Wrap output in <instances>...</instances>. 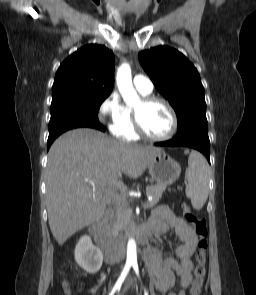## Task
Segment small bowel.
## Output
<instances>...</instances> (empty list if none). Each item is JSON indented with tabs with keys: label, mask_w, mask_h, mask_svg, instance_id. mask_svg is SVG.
I'll return each mask as SVG.
<instances>
[{
	"label": "small bowel",
	"mask_w": 256,
	"mask_h": 295,
	"mask_svg": "<svg viewBox=\"0 0 256 295\" xmlns=\"http://www.w3.org/2000/svg\"><path fill=\"white\" fill-rule=\"evenodd\" d=\"M147 226L150 234L156 239V242L151 244L144 253L147 276L158 291L167 295H185L191 278V258L197 242L193 230L167 206L157 207ZM171 229L181 241L176 250L179 261L173 257L162 260L161 237ZM128 290L129 287H125L122 295Z\"/></svg>",
	"instance_id": "small-bowel-1"
}]
</instances>
